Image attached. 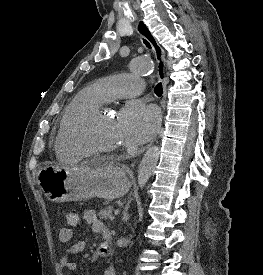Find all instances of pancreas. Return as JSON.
Instances as JSON below:
<instances>
[{
  "instance_id": "1",
  "label": "pancreas",
  "mask_w": 263,
  "mask_h": 275,
  "mask_svg": "<svg viewBox=\"0 0 263 275\" xmlns=\"http://www.w3.org/2000/svg\"><path fill=\"white\" fill-rule=\"evenodd\" d=\"M112 210H113V207L108 206L107 208L100 210L98 215L101 219H111L112 220V219H114V217L112 215Z\"/></svg>"
}]
</instances>
